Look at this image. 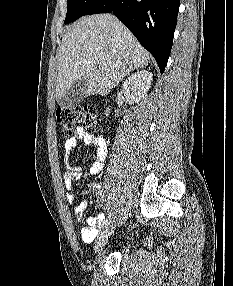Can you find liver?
I'll return each instance as SVG.
<instances>
[{
  "label": "liver",
  "mask_w": 233,
  "mask_h": 286,
  "mask_svg": "<svg viewBox=\"0 0 233 286\" xmlns=\"http://www.w3.org/2000/svg\"><path fill=\"white\" fill-rule=\"evenodd\" d=\"M57 101L80 78L88 82L86 96L105 95L129 72L150 63L151 55L113 15L80 18L66 32L58 49ZM104 63L103 69H97Z\"/></svg>",
  "instance_id": "obj_1"
}]
</instances>
